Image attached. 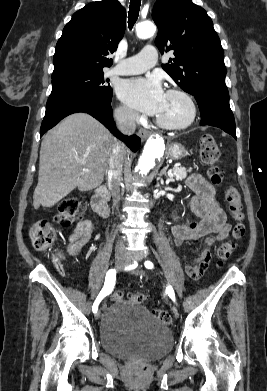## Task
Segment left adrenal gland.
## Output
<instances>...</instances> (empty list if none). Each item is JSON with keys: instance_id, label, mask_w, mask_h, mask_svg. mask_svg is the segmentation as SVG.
<instances>
[{"instance_id": "1", "label": "left adrenal gland", "mask_w": 267, "mask_h": 391, "mask_svg": "<svg viewBox=\"0 0 267 391\" xmlns=\"http://www.w3.org/2000/svg\"><path fill=\"white\" fill-rule=\"evenodd\" d=\"M168 166H169V165L167 164V166L164 167V168L160 171L159 177H161V176H163V175H165V176L167 177L166 170H167Z\"/></svg>"}]
</instances>
